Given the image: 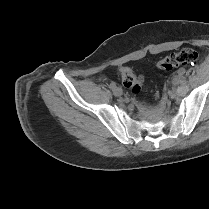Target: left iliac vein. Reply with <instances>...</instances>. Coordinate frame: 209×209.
Returning a JSON list of instances; mask_svg holds the SVG:
<instances>
[{"mask_svg": "<svg viewBox=\"0 0 209 209\" xmlns=\"http://www.w3.org/2000/svg\"><path fill=\"white\" fill-rule=\"evenodd\" d=\"M174 78H173V80H172V86L173 87H178L179 86V84L181 83V79H182V76H181V74L180 73H175L174 74V76H173Z\"/></svg>", "mask_w": 209, "mask_h": 209, "instance_id": "4c4485c4", "label": "left iliac vein"}]
</instances>
